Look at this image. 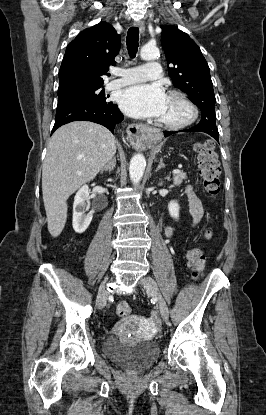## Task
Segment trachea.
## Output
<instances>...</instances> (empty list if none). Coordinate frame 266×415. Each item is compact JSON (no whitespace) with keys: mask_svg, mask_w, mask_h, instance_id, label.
Segmentation results:
<instances>
[{"mask_svg":"<svg viewBox=\"0 0 266 415\" xmlns=\"http://www.w3.org/2000/svg\"><path fill=\"white\" fill-rule=\"evenodd\" d=\"M139 28L131 27L127 33L126 44L130 57L134 58L138 50Z\"/></svg>","mask_w":266,"mask_h":415,"instance_id":"trachea-1","label":"trachea"}]
</instances>
